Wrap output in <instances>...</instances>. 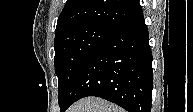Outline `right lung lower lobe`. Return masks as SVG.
Returning a JSON list of instances; mask_svg holds the SVG:
<instances>
[{"label":"right lung lower lobe","instance_id":"obj_1","mask_svg":"<svg viewBox=\"0 0 193 112\" xmlns=\"http://www.w3.org/2000/svg\"><path fill=\"white\" fill-rule=\"evenodd\" d=\"M152 52L143 12L114 30L86 59L61 112L86 96L111 101L128 112H151Z\"/></svg>","mask_w":193,"mask_h":112}]
</instances>
